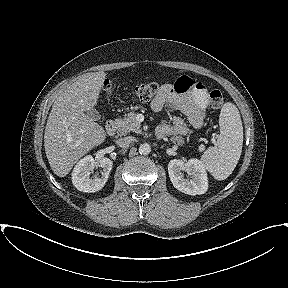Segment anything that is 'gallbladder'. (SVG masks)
Returning a JSON list of instances; mask_svg holds the SVG:
<instances>
[{
    "label": "gallbladder",
    "instance_id": "1",
    "mask_svg": "<svg viewBox=\"0 0 288 288\" xmlns=\"http://www.w3.org/2000/svg\"><path fill=\"white\" fill-rule=\"evenodd\" d=\"M86 113L94 121H98L101 118V115L99 114V112L96 109H91V110L87 111Z\"/></svg>",
    "mask_w": 288,
    "mask_h": 288
}]
</instances>
